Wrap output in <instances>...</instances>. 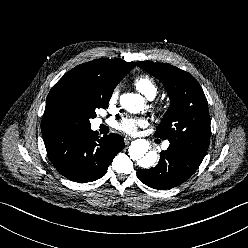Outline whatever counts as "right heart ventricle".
I'll return each mask as SVG.
<instances>
[{
  "label": "right heart ventricle",
  "mask_w": 248,
  "mask_h": 248,
  "mask_svg": "<svg viewBox=\"0 0 248 248\" xmlns=\"http://www.w3.org/2000/svg\"><path fill=\"white\" fill-rule=\"evenodd\" d=\"M134 86L139 92L149 99L154 98L158 91L155 81L147 75H140L136 77L134 79Z\"/></svg>",
  "instance_id": "obj_1"
}]
</instances>
